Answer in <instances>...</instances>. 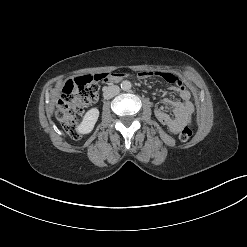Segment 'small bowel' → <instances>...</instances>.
<instances>
[{
    "label": "small bowel",
    "mask_w": 247,
    "mask_h": 247,
    "mask_svg": "<svg viewBox=\"0 0 247 247\" xmlns=\"http://www.w3.org/2000/svg\"><path fill=\"white\" fill-rule=\"evenodd\" d=\"M139 76L141 78L159 77L172 85L171 89L179 95L181 100L165 98L163 102L173 108L174 116H170L161 109L155 110V116L162 124L166 125L171 132L175 134L179 133L183 126L191 122L194 111V105L191 102V94L185 87L183 81L177 75L170 72H140ZM123 77H125V75L121 73L111 74L105 81L116 82Z\"/></svg>",
    "instance_id": "c3829d8e"
}]
</instances>
